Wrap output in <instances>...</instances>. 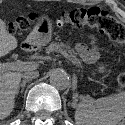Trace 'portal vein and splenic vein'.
Returning <instances> with one entry per match:
<instances>
[{"mask_svg":"<svg viewBox=\"0 0 125 125\" xmlns=\"http://www.w3.org/2000/svg\"><path fill=\"white\" fill-rule=\"evenodd\" d=\"M60 53L66 59H68L69 61H71L70 56H69V54L67 52L60 51ZM36 66L37 65H36L35 62H23L21 60H17L15 62H11V63L0 64V72H4L6 70L29 71V70L35 69Z\"/></svg>","mask_w":125,"mask_h":125,"instance_id":"1","label":"portal vein and splenic vein"}]
</instances>
